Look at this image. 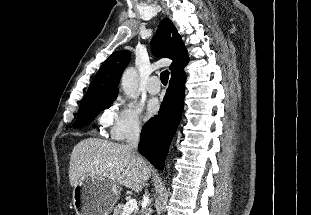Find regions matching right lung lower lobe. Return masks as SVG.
I'll list each match as a JSON object with an SVG mask.
<instances>
[{"label":"right lung lower lobe","mask_w":311,"mask_h":215,"mask_svg":"<svg viewBox=\"0 0 311 215\" xmlns=\"http://www.w3.org/2000/svg\"><path fill=\"white\" fill-rule=\"evenodd\" d=\"M185 80L184 70L171 77L158 115L146 122L142 128L139 152L161 170L164 168L171 139L181 119Z\"/></svg>","instance_id":"obj_1"}]
</instances>
